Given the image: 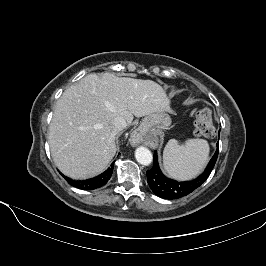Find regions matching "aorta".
<instances>
[{
    "instance_id": "obj_1",
    "label": "aorta",
    "mask_w": 266,
    "mask_h": 266,
    "mask_svg": "<svg viewBox=\"0 0 266 266\" xmlns=\"http://www.w3.org/2000/svg\"><path fill=\"white\" fill-rule=\"evenodd\" d=\"M135 158L138 163L144 166L150 165L153 160L151 151L145 147H139L136 149Z\"/></svg>"
}]
</instances>
